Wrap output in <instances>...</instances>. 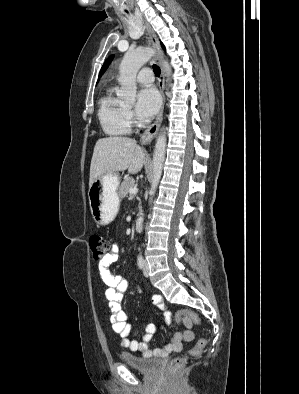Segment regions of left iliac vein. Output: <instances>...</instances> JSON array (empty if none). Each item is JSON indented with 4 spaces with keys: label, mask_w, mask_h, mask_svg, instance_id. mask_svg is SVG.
Returning a JSON list of instances; mask_svg holds the SVG:
<instances>
[{
    "label": "left iliac vein",
    "mask_w": 299,
    "mask_h": 394,
    "mask_svg": "<svg viewBox=\"0 0 299 394\" xmlns=\"http://www.w3.org/2000/svg\"><path fill=\"white\" fill-rule=\"evenodd\" d=\"M143 274H144L145 277L149 276V267H148L147 262H145V264H144Z\"/></svg>",
    "instance_id": "4c4485c4"
}]
</instances>
